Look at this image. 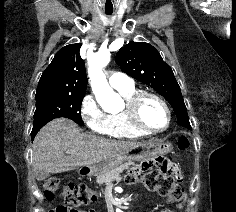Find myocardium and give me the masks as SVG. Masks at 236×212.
Here are the masks:
<instances>
[{
    "mask_svg": "<svg viewBox=\"0 0 236 212\" xmlns=\"http://www.w3.org/2000/svg\"><path fill=\"white\" fill-rule=\"evenodd\" d=\"M147 99H154L158 101L165 109L168 122L167 125L161 129H153L148 127L142 119V108ZM124 110L127 114V117L131 123V125L137 130L145 133V134H158L166 131L172 124V112L171 109L166 102V100L160 95L149 92V91H138L134 95H132L125 104Z\"/></svg>",
    "mask_w": 236,
    "mask_h": 212,
    "instance_id": "1",
    "label": "myocardium"
}]
</instances>
